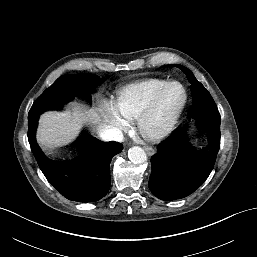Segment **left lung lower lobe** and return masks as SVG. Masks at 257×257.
Here are the masks:
<instances>
[{
  "label": "left lung lower lobe",
  "mask_w": 257,
  "mask_h": 257,
  "mask_svg": "<svg viewBox=\"0 0 257 257\" xmlns=\"http://www.w3.org/2000/svg\"><path fill=\"white\" fill-rule=\"evenodd\" d=\"M204 141L200 147L188 144L176 129L151 158L150 191L159 199L184 198L199 188L211 173L220 147V121L204 124Z\"/></svg>",
  "instance_id": "obj_1"
}]
</instances>
